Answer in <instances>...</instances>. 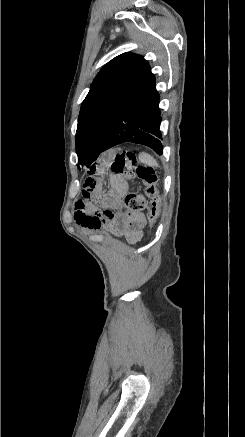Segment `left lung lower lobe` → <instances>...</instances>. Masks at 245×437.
I'll use <instances>...</instances> for the list:
<instances>
[{
    "instance_id": "left-lung-lower-lobe-1",
    "label": "left lung lower lobe",
    "mask_w": 245,
    "mask_h": 437,
    "mask_svg": "<svg viewBox=\"0 0 245 437\" xmlns=\"http://www.w3.org/2000/svg\"><path fill=\"white\" fill-rule=\"evenodd\" d=\"M160 122L159 95L151 73L112 126L101 152L120 143L133 142L162 154Z\"/></svg>"
}]
</instances>
